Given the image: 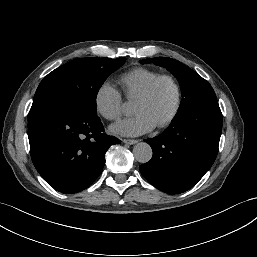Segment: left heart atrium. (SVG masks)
Wrapping results in <instances>:
<instances>
[{"label":"left heart atrium","mask_w":257,"mask_h":257,"mask_svg":"<svg viewBox=\"0 0 257 257\" xmlns=\"http://www.w3.org/2000/svg\"><path fill=\"white\" fill-rule=\"evenodd\" d=\"M156 125L143 113L121 120L111 127L112 132L122 136H138L150 132Z\"/></svg>","instance_id":"left-heart-atrium-1"}]
</instances>
